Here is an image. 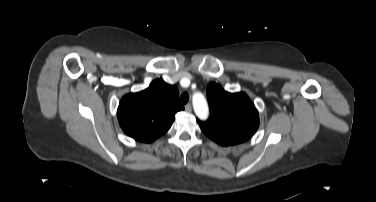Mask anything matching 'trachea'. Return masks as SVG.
Here are the masks:
<instances>
[{
	"instance_id": "obj_1",
	"label": "trachea",
	"mask_w": 376,
	"mask_h": 202,
	"mask_svg": "<svg viewBox=\"0 0 376 202\" xmlns=\"http://www.w3.org/2000/svg\"><path fill=\"white\" fill-rule=\"evenodd\" d=\"M180 103L181 104H186L189 100V94L184 92L181 96H180Z\"/></svg>"
}]
</instances>
